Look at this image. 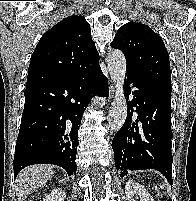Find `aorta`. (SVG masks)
Listing matches in <instances>:
<instances>
[{"instance_id": "aorta-1", "label": "aorta", "mask_w": 196, "mask_h": 201, "mask_svg": "<svg viewBox=\"0 0 196 201\" xmlns=\"http://www.w3.org/2000/svg\"><path fill=\"white\" fill-rule=\"evenodd\" d=\"M106 62L109 74L115 85V95L108 114V124L111 130L118 131L127 117V102L123 90L126 59L122 51L115 49L108 53Z\"/></svg>"}]
</instances>
